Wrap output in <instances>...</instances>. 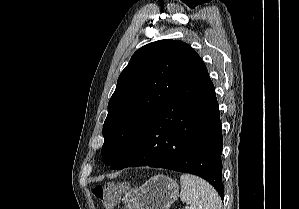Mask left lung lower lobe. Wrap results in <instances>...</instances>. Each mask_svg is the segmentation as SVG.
Returning <instances> with one entry per match:
<instances>
[{
  "mask_svg": "<svg viewBox=\"0 0 299 209\" xmlns=\"http://www.w3.org/2000/svg\"><path fill=\"white\" fill-rule=\"evenodd\" d=\"M222 126L207 69L158 111L116 169L151 166L198 175L224 196Z\"/></svg>",
  "mask_w": 299,
  "mask_h": 209,
  "instance_id": "0a47b994",
  "label": "left lung lower lobe"
}]
</instances>
